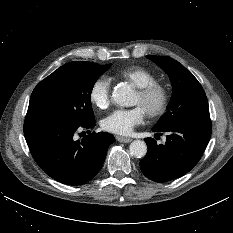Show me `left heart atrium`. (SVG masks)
<instances>
[{"mask_svg":"<svg viewBox=\"0 0 233 233\" xmlns=\"http://www.w3.org/2000/svg\"><path fill=\"white\" fill-rule=\"evenodd\" d=\"M145 114L140 106L132 109H117L102 120V127L111 133L127 135L143 123Z\"/></svg>","mask_w":233,"mask_h":233,"instance_id":"39dd6f15","label":"left heart atrium"}]
</instances>
